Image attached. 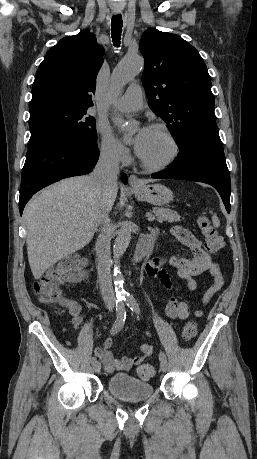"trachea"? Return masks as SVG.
Listing matches in <instances>:
<instances>
[{
    "instance_id": "obj_1",
    "label": "trachea",
    "mask_w": 257,
    "mask_h": 459,
    "mask_svg": "<svg viewBox=\"0 0 257 459\" xmlns=\"http://www.w3.org/2000/svg\"><path fill=\"white\" fill-rule=\"evenodd\" d=\"M122 23V16L120 14L112 17L111 36L115 47L120 46Z\"/></svg>"
}]
</instances>
